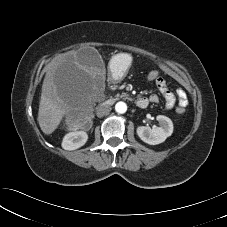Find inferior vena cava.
I'll return each instance as SVG.
<instances>
[{"instance_id":"602c4592","label":"inferior vena cava","mask_w":227,"mask_h":227,"mask_svg":"<svg viewBox=\"0 0 227 227\" xmlns=\"http://www.w3.org/2000/svg\"><path fill=\"white\" fill-rule=\"evenodd\" d=\"M111 106L108 104H101L97 108V116L98 117H103L104 115H107L111 111Z\"/></svg>"}]
</instances>
